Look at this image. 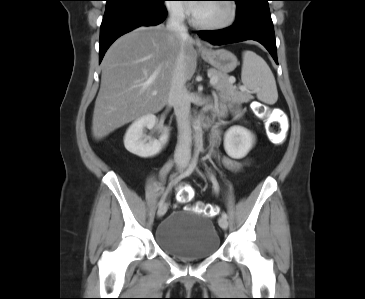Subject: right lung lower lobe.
<instances>
[{
	"label": "right lung lower lobe",
	"instance_id": "obj_1",
	"mask_svg": "<svg viewBox=\"0 0 365 299\" xmlns=\"http://www.w3.org/2000/svg\"><path fill=\"white\" fill-rule=\"evenodd\" d=\"M166 15L163 2H128L106 7L100 27L99 62L118 37L139 26L157 25Z\"/></svg>",
	"mask_w": 365,
	"mask_h": 299
}]
</instances>
